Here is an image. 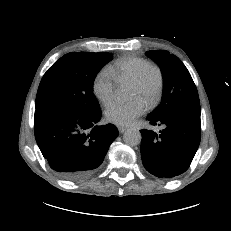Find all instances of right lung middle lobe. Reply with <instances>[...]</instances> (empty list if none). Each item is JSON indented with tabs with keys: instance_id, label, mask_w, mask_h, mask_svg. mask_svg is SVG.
I'll return each mask as SVG.
<instances>
[{
	"instance_id": "1",
	"label": "right lung middle lobe",
	"mask_w": 231,
	"mask_h": 231,
	"mask_svg": "<svg viewBox=\"0 0 231 231\" xmlns=\"http://www.w3.org/2000/svg\"><path fill=\"white\" fill-rule=\"evenodd\" d=\"M111 53L72 52L62 56L44 74L35 107L90 115L100 110L93 83Z\"/></svg>"
}]
</instances>
